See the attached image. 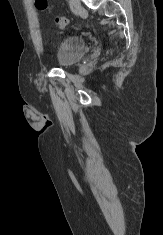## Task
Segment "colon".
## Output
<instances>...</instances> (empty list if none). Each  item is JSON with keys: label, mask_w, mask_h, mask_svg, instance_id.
Listing matches in <instances>:
<instances>
[{"label": "colon", "mask_w": 163, "mask_h": 235, "mask_svg": "<svg viewBox=\"0 0 163 235\" xmlns=\"http://www.w3.org/2000/svg\"><path fill=\"white\" fill-rule=\"evenodd\" d=\"M35 1V6L37 9L41 11H45L48 9V2L47 0H34ZM68 19L64 16H57L55 18V24L58 28L63 29L68 25Z\"/></svg>", "instance_id": "5ec220e1"}]
</instances>
